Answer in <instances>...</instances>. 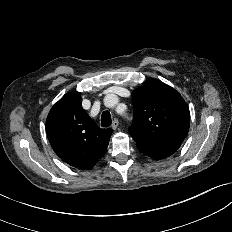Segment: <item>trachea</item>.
<instances>
[{
    "label": "trachea",
    "instance_id": "3493384b",
    "mask_svg": "<svg viewBox=\"0 0 232 232\" xmlns=\"http://www.w3.org/2000/svg\"><path fill=\"white\" fill-rule=\"evenodd\" d=\"M112 119L109 111H104L101 115V126L108 127L111 125Z\"/></svg>",
    "mask_w": 232,
    "mask_h": 232
}]
</instances>
